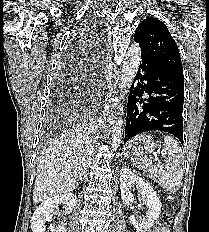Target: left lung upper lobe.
Instances as JSON below:
<instances>
[{
  "instance_id": "obj_1",
  "label": "left lung upper lobe",
  "mask_w": 209,
  "mask_h": 232,
  "mask_svg": "<svg viewBox=\"0 0 209 232\" xmlns=\"http://www.w3.org/2000/svg\"><path fill=\"white\" fill-rule=\"evenodd\" d=\"M134 40L140 45L143 56L161 69L183 76L177 44L162 21L153 17L144 19L135 31Z\"/></svg>"
}]
</instances>
